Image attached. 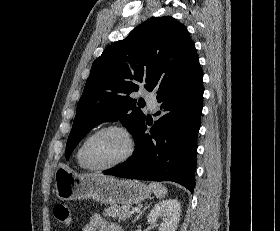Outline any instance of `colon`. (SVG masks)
Returning a JSON list of instances; mask_svg holds the SVG:
<instances>
[{
  "instance_id": "5ec220e1",
  "label": "colon",
  "mask_w": 280,
  "mask_h": 231,
  "mask_svg": "<svg viewBox=\"0 0 280 231\" xmlns=\"http://www.w3.org/2000/svg\"><path fill=\"white\" fill-rule=\"evenodd\" d=\"M54 213H56L57 220H61V225H75V220H71L70 210L66 208L65 204L54 208Z\"/></svg>"
}]
</instances>
